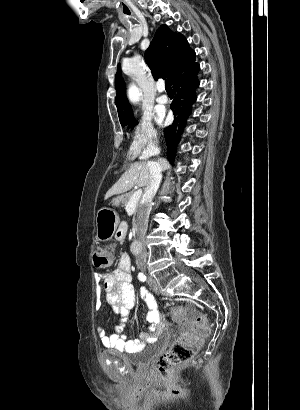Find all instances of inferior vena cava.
<instances>
[{
    "mask_svg": "<svg viewBox=\"0 0 300 410\" xmlns=\"http://www.w3.org/2000/svg\"><path fill=\"white\" fill-rule=\"evenodd\" d=\"M158 152V149L155 148L154 144L151 146V150L147 154V157L150 155H154ZM148 167L150 172V181L148 186L145 189V193L143 195V205L138 210L137 213V226H138V244L140 245V254L136 257V264L137 267L144 271L146 269V261H147V252H146V231L148 227V219L152 209L151 202L160 186L162 180V166L159 162L148 161Z\"/></svg>",
    "mask_w": 300,
    "mask_h": 410,
    "instance_id": "1",
    "label": "inferior vena cava"
}]
</instances>
